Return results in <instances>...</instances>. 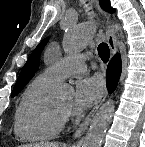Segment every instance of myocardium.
Here are the masks:
<instances>
[{"instance_id": "obj_1", "label": "myocardium", "mask_w": 145, "mask_h": 147, "mask_svg": "<svg viewBox=\"0 0 145 147\" xmlns=\"http://www.w3.org/2000/svg\"><path fill=\"white\" fill-rule=\"evenodd\" d=\"M55 109L62 118H65L68 116V113H69L68 109H62L58 105H55Z\"/></svg>"}]
</instances>
